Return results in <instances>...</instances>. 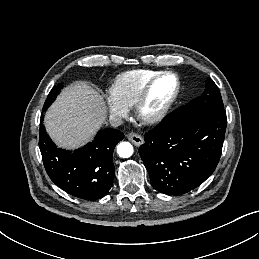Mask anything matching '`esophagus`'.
<instances>
[{
  "label": "esophagus",
  "instance_id": "1",
  "mask_svg": "<svg viewBox=\"0 0 259 259\" xmlns=\"http://www.w3.org/2000/svg\"><path fill=\"white\" fill-rule=\"evenodd\" d=\"M127 138L136 146H140L143 143L142 136L134 132L129 133Z\"/></svg>",
  "mask_w": 259,
  "mask_h": 259
}]
</instances>
